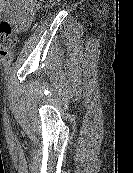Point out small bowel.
Segmentation results:
<instances>
[{"instance_id":"c3829d8e","label":"small bowel","mask_w":133,"mask_h":173,"mask_svg":"<svg viewBox=\"0 0 133 173\" xmlns=\"http://www.w3.org/2000/svg\"><path fill=\"white\" fill-rule=\"evenodd\" d=\"M36 0H0V13H5L17 32L26 30L35 16Z\"/></svg>"}]
</instances>
